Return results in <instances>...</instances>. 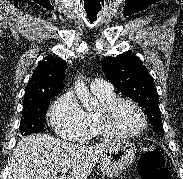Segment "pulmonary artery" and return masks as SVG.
Masks as SVG:
<instances>
[{
  "label": "pulmonary artery",
  "instance_id": "1",
  "mask_svg": "<svg viewBox=\"0 0 183 179\" xmlns=\"http://www.w3.org/2000/svg\"><path fill=\"white\" fill-rule=\"evenodd\" d=\"M91 90L93 92H109L112 91V85L103 79L96 78L91 82Z\"/></svg>",
  "mask_w": 183,
  "mask_h": 179
}]
</instances>
